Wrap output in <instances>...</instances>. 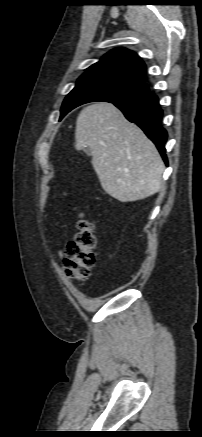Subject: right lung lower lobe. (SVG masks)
<instances>
[{
	"label": "right lung lower lobe",
	"instance_id": "1",
	"mask_svg": "<svg viewBox=\"0 0 202 437\" xmlns=\"http://www.w3.org/2000/svg\"><path fill=\"white\" fill-rule=\"evenodd\" d=\"M111 103L117 106L129 121L136 123L145 132L148 138L154 142L167 165L165 154L167 132L161 126L162 109L158 97L153 92L148 91L138 97L121 99Z\"/></svg>",
	"mask_w": 202,
	"mask_h": 437
}]
</instances>
